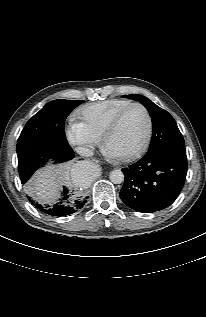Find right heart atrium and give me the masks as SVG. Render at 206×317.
I'll list each match as a JSON object with an SVG mask.
<instances>
[{
    "label": "right heart atrium",
    "instance_id": "obj_1",
    "mask_svg": "<svg viewBox=\"0 0 206 317\" xmlns=\"http://www.w3.org/2000/svg\"><path fill=\"white\" fill-rule=\"evenodd\" d=\"M66 137L70 144L83 153L99 142V137L92 134L82 121L70 120L66 128Z\"/></svg>",
    "mask_w": 206,
    "mask_h": 317
}]
</instances>
